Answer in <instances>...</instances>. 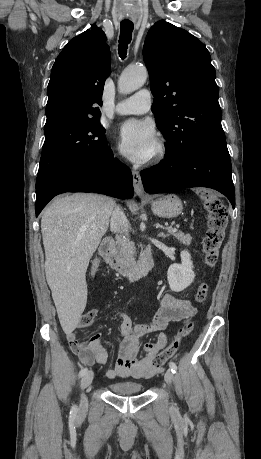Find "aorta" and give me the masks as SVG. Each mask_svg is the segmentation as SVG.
Segmentation results:
<instances>
[{"label": "aorta", "mask_w": 261, "mask_h": 459, "mask_svg": "<svg viewBox=\"0 0 261 459\" xmlns=\"http://www.w3.org/2000/svg\"><path fill=\"white\" fill-rule=\"evenodd\" d=\"M148 72L145 67H129L125 69L119 80L118 90L122 94H130L144 85Z\"/></svg>", "instance_id": "aorta-1"}]
</instances>
